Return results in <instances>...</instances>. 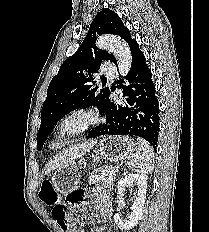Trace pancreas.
I'll return each instance as SVG.
<instances>
[{
	"label": "pancreas",
	"instance_id": "1",
	"mask_svg": "<svg viewBox=\"0 0 209 232\" xmlns=\"http://www.w3.org/2000/svg\"><path fill=\"white\" fill-rule=\"evenodd\" d=\"M116 173L117 169L112 166L98 168L91 173L89 177V184L91 185L101 182L104 187L111 190L114 186Z\"/></svg>",
	"mask_w": 209,
	"mask_h": 232
}]
</instances>
